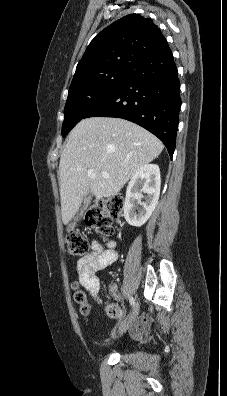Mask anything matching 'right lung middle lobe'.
I'll return each instance as SVG.
<instances>
[{
  "instance_id": "dd1d6c3e",
  "label": "right lung middle lobe",
  "mask_w": 227,
  "mask_h": 396,
  "mask_svg": "<svg viewBox=\"0 0 227 396\" xmlns=\"http://www.w3.org/2000/svg\"><path fill=\"white\" fill-rule=\"evenodd\" d=\"M132 70L110 69L94 74L70 86L62 125V136L70 130L97 104L110 96L129 76Z\"/></svg>"
}]
</instances>
